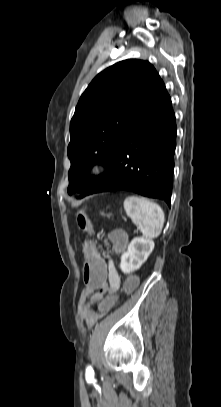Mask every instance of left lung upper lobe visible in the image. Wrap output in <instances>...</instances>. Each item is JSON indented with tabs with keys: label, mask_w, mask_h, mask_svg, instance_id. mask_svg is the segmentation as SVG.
Instances as JSON below:
<instances>
[{
	"label": "left lung upper lobe",
	"mask_w": 221,
	"mask_h": 407,
	"mask_svg": "<svg viewBox=\"0 0 221 407\" xmlns=\"http://www.w3.org/2000/svg\"><path fill=\"white\" fill-rule=\"evenodd\" d=\"M162 80L148 62L129 59L99 73L79 99L70 122L68 193H84L97 177L95 163L108 165L128 126Z\"/></svg>",
	"instance_id": "obj_1"
}]
</instances>
